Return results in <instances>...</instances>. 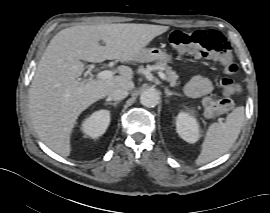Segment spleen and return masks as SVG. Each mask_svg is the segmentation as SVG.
Instances as JSON below:
<instances>
[{"instance_id":"1","label":"spleen","mask_w":270,"mask_h":213,"mask_svg":"<svg viewBox=\"0 0 270 213\" xmlns=\"http://www.w3.org/2000/svg\"><path fill=\"white\" fill-rule=\"evenodd\" d=\"M244 118L245 109L240 106L227 115L225 122L210 125L195 163L206 164L226 153L237 140Z\"/></svg>"}]
</instances>
